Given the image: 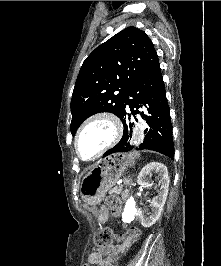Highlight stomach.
<instances>
[{
  "label": "stomach",
  "instance_id": "stomach-1",
  "mask_svg": "<svg viewBox=\"0 0 221 266\" xmlns=\"http://www.w3.org/2000/svg\"><path fill=\"white\" fill-rule=\"evenodd\" d=\"M127 155L116 153L99 160L83 177L80 194L83 201L91 206L97 205L104 198L106 192L115 185L123 173ZM101 213L99 218H103Z\"/></svg>",
  "mask_w": 221,
  "mask_h": 266
}]
</instances>
